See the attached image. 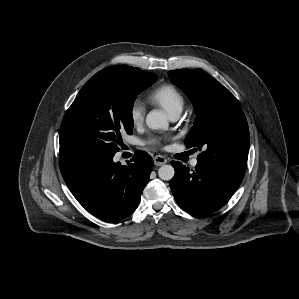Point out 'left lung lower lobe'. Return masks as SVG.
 <instances>
[{
	"instance_id": "left-lung-lower-lobe-1",
	"label": "left lung lower lobe",
	"mask_w": 299,
	"mask_h": 299,
	"mask_svg": "<svg viewBox=\"0 0 299 299\" xmlns=\"http://www.w3.org/2000/svg\"><path fill=\"white\" fill-rule=\"evenodd\" d=\"M175 176L170 187L178 205L195 215H206L223 207L240 186L244 173L197 161L190 172L181 162L172 161Z\"/></svg>"
}]
</instances>
